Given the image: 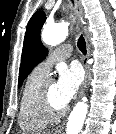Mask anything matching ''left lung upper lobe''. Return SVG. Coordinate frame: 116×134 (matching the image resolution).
Here are the masks:
<instances>
[{"label": "left lung upper lobe", "mask_w": 116, "mask_h": 134, "mask_svg": "<svg viewBox=\"0 0 116 134\" xmlns=\"http://www.w3.org/2000/svg\"><path fill=\"white\" fill-rule=\"evenodd\" d=\"M45 20V13L43 11H37L31 17L27 25L21 57L18 87L22 85L24 79L30 74L32 69L47 56L48 50L43 46L40 40V31Z\"/></svg>", "instance_id": "1"}]
</instances>
